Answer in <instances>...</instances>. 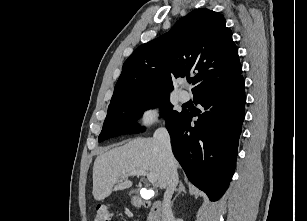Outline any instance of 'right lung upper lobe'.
Instances as JSON below:
<instances>
[{"mask_svg":"<svg viewBox=\"0 0 307 221\" xmlns=\"http://www.w3.org/2000/svg\"><path fill=\"white\" fill-rule=\"evenodd\" d=\"M225 23L217 12L195 9L169 32L139 46L124 62L110 104L135 94L168 93L172 76L190 71L194 97L243 81L238 50Z\"/></svg>","mask_w":307,"mask_h":221,"instance_id":"obj_1","label":"right lung upper lobe"}]
</instances>
